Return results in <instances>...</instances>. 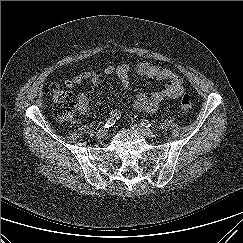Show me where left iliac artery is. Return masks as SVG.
<instances>
[{"mask_svg":"<svg viewBox=\"0 0 243 243\" xmlns=\"http://www.w3.org/2000/svg\"><path fill=\"white\" fill-rule=\"evenodd\" d=\"M134 118H135V120L139 121L141 125L148 127V128L152 127V124L148 120L138 118L137 116H135Z\"/></svg>","mask_w":243,"mask_h":243,"instance_id":"1","label":"left iliac artery"}]
</instances>
